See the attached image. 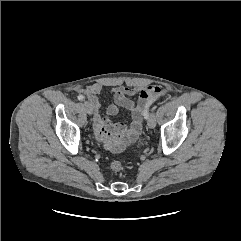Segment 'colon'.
<instances>
[{
	"mask_svg": "<svg viewBox=\"0 0 241 241\" xmlns=\"http://www.w3.org/2000/svg\"><path fill=\"white\" fill-rule=\"evenodd\" d=\"M110 167L114 172H118L122 169V164L119 160H113L110 164Z\"/></svg>",
	"mask_w": 241,
	"mask_h": 241,
	"instance_id": "5ec220e1",
	"label": "colon"
}]
</instances>
